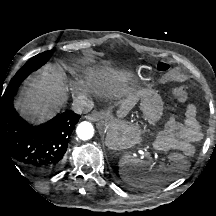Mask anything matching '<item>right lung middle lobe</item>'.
Segmentation results:
<instances>
[{
	"label": "right lung middle lobe",
	"mask_w": 216,
	"mask_h": 216,
	"mask_svg": "<svg viewBox=\"0 0 216 216\" xmlns=\"http://www.w3.org/2000/svg\"><path fill=\"white\" fill-rule=\"evenodd\" d=\"M52 55V51H45L43 53H40L31 59H29L25 65L15 74V76L12 78L10 84L6 88L4 94H6L9 91H15L20 84L23 82V80L33 71L40 68L42 65L46 63V61L50 58ZM1 96V95H0Z\"/></svg>",
	"instance_id": "obj_1"
}]
</instances>
